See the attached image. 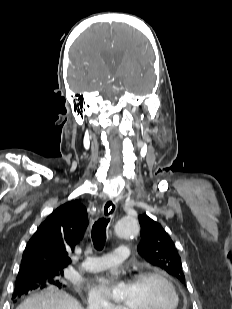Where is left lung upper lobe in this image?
I'll return each mask as SVG.
<instances>
[{
  "label": "left lung upper lobe",
  "mask_w": 232,
  "mask_h": 309,
  "mask_svg": "<svg viewBox=\"0 0 232 309\" xmlns=\"http://www.w3.org/2000/svg\"><path fill=\"white\" fill-rule=\"evenodd\" d=\"M141 241L139 254L151 265L156 266L185 283L181 258L174 242L162 226L147 215L139 216Z\"/></svg>",
  "instance_id": "obj_1"
}]
</instances>
